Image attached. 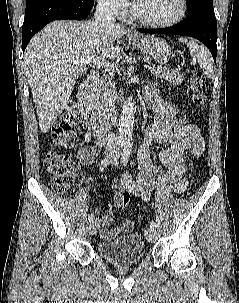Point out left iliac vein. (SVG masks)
Returning <instances> with one entry per match:
<instances>
[{
  "instance_id": "1",
  "label": "left iliac vein",
  "mask_w": 239,
  "mask_h": 303,
  "mask_svg": "<svg viewBox=\"0 0 239 303\" xmlns=\"http://www.w3.org/2000/svg\"><path fill=\"white\" fill-rule=\"evenodd\" d=\"M111 163L114 166H118V155H116L112 158ZM145 237L149 242H151V243L155 242L157 240V233H156L155 228H153V227L147 228L145 230Z\"/></svg>"
}]
</instances>
